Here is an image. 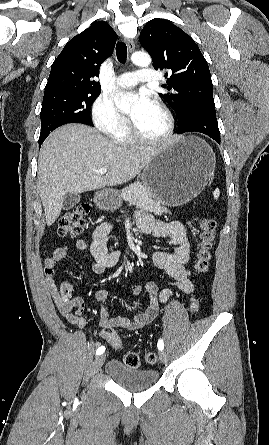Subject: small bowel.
Instances as JSON below:
<instances>
[{"mask_svg": "<svg viewBox=\"0 0 269 445\" xmlns=\"http://www.w3.org/2000/svg\"><path fill=\"white\" fill-rule=\"evenodd\" d=\"M136 223L145 234H152L157 238H170L175 245L173 253L156 252L153 256L155 265L163 269L166 274L174 280L176 287L184 294H190L194 290L191 280V272L186 267L189 259V242L184 226L177 221L163 222L154 219L144 213L136 214ZM112 229L111 224L103 223L99 225L94 233L92 243L79 239L75 247L80 251L89 249L94 258L93 271L96 274H103L106 270L115 267L120 259L119 251H110L107 247L108 235ZM69 248L67 246L58 247L53 254L45 261L46 268L54 270L65 258ZM47 288L57 306L60 314L72 325L84 328L86 319L83 316L85 302L82 298H70V290L58 289L51 279L47 280ZM132 293L139 296L145 289L148 300L146 310L137 314L133 319L126 317L112 318L109 316L107 301L109 292L100 289L94 292V299L101 304L99 311V325L102 328L101 336L106 340V331L121 328L126 330H137L151 323L158 314L159 307L165 304L172 296V290L164 288L159 290L155 282H148L145 286L134 284L131 287Z\"/></svg>", "mask_w": 269, "mask_h": 445, "instance_id": "c3829d8e", "label": "small bowel"}]
</instances>
